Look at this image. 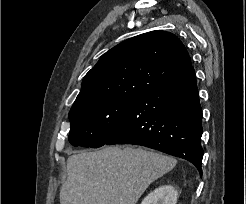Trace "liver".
<instances>
[{
	"label": "liver",
	"instance_id": "liver-1",
	"mask_svg": "<svg viewBox=\"0 0 246 204\" xmlns=\"http://www.w3.org/2000/svg\"><path fill=\"white\" fill-rule=\"evenodd\" d=\"M176 163L173 157L131 146L71 155L60 204H136Z\"/></svg>",
	"mask_w": 246,
	"mask_h": 204
}]
</instances>
